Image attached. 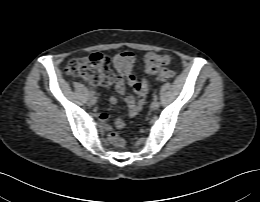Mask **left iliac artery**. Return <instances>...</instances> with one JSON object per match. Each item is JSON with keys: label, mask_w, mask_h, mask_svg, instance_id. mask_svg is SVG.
I'll use <instances>...</instances> for the list:
<instances>
[{"label": "left iliac artery", "mask_w": 260, "mask_h": 202, "mask_svg": "<svg viewBox=\"0 0 260 202\" xmlns=\"http://www.w3.org/2000/svg\"><path fill=\"white\" fill-rule=\"evenodd\" d=\"M153 99H154V100H157V99H158V96H157L156 94H154Z\"/></svg>", "instance_id": "44dca946"}]
</instances>
